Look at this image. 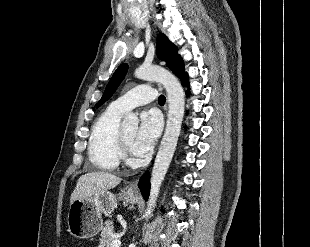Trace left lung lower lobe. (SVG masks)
<instances>
[{
    "instance_id": "left-lung-lower-lobe-1",
    "label": "left lung lower lobe",
    "mask_w": 310,
    "mask_h": 247,
    "mask_svg": "<svg viewBox=\"0 0 310 247\" xmlns=\"http://www.w3.org/2000/svg\"><path fill=\"white\" fill-rule=\"evenodd\" d=\"M180 79L183 81V83L188 87L189 82H188V75L185 73L183 74ZM139 189L144 197L145 200L148 199L149 197V191H150V183H149V173H145L139 181Z\"/></svg>"
}]
</instances>
